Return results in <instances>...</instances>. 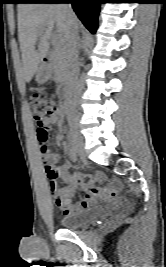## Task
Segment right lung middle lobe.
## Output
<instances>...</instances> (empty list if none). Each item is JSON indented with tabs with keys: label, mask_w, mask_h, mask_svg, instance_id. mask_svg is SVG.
Listing matches in <instances>:
<instances>
[{
	"label": "right lung middle lobe",
	"mask_w": 166,
	"mask_h": 267,
	"mask_svg": "<svg viewBox=\"0 0 166 267\" xmlns=\"http://www.w3.org/2000/svg\"><path fill=\"white\" fill-rule=\"evenodd\" d=\"M18 2L17 3H20V2H29V1H32V0H17Z\"/></svg>",
	"instance_id": "dd1d6c3e"
}]
</instances>
